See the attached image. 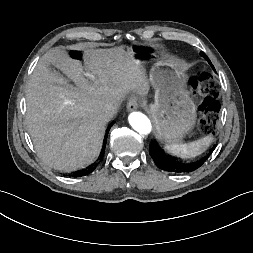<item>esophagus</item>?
I'll list each match as a JSON object with an SVG mask.
<instances>
[{
    "instance_id": "obj_1",
    "label": "esophagus",
    "mask_w": 253,
    "mask_h": 253,
    "mask_svg": "<svg viewBox=\"0 0 253 253\" xmlns=\"http://www.w3.org/2000/svg\"><path fill=\"white\" fill-rule=\"evenodd\" d=\"M139 106L138 98L135 96H132L128 102H127V109L128 111H135Z\"/></svg>"
}]
</instances>
